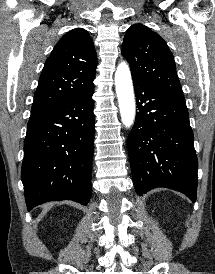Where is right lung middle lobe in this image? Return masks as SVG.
<instances>
[{
  "label": "right lung middle lobe",
  "mask_w": 215,
  "mask_h": 274,
  "mask_svg": "<svg viewBox=\"0 0 215 274\" xmlns=\"http://www.w3.org/2000/svg\"><path fill=\"white\" fill-rule=\"evenodd\" d=\"M35 116H36V115H32V114H31L30 119H31V118H34Z\"/></svg>",
  "instance_id": "right-lung-middle-lobe-1"
}]
</instances>
